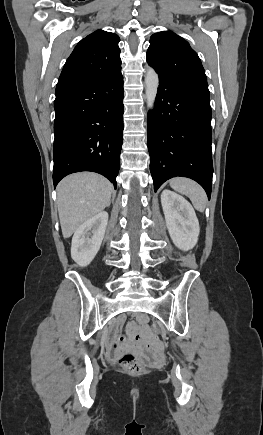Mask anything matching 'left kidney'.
<instances>
[{
	"instance_id": "1",
	"label": "left kidney",
	"mask_w": 263,
	"mask_h": 435,
	"mask_svg": "<svg viewBox=\"0 0 263 435\" xmlns=\"http://www.w3.org/2000/svg\"><path fill=\"white\" fill-rule=\"evenodd\" d=\"M161 204L173 243L184 251L192 249L200 232L192 205L183 196L167 189L161 193Z\"/></svg>"
}]
</instances>
